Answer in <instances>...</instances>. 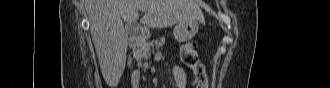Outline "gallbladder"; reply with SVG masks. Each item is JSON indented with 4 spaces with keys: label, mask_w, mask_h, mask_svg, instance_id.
I'll return each mask as SVG.
<instances>
[{
    "label": "gallbladder",
    "mask_w": 330,
    "mask_h": 88,
    "mask_svg": "<svg viewBox=\"0 0 330 88\" xmlns=\"http://www.w3.org/2000/svg\"><path fill=\"white\" fill-rule=\"evenodd\" d=\"M127 29H128L129 34L133 33V25L132 24H128Z\"/></svg>",
    "instance_id": "gallbladder-1"
}]
</instances>
